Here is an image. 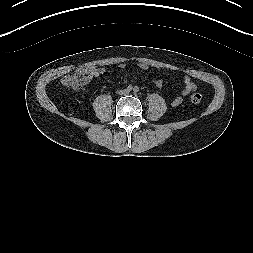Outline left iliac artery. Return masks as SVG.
<instances>
[{"mask_svg":"<svg viewBox=\"0 0 253 253\" xmlns=\"http://www.w3.org/2000/svg\"><path fill=\"white\" fill-rule=\"evenodd\" d=\"M134 91H135V92L139 91V88L136 86V87L134 88Z\"/></svg>","mask_w":253,"mask_h":253,"instance_id":"left-iliac-artery-1","label":"left iliac artery"}]
</instances>
